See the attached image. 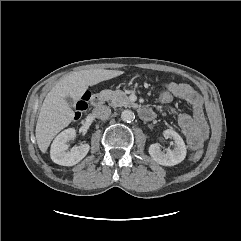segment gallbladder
I'll return each instance as SVG.
<instances>
[{
	"label": "gallbladder",
	"instance_id": "gallbladder-1",
	"mask_svg": "<svg viewBox=\"0 0 241 241\" xmlns=\"http://www.w3.org/2000/svg\"><path fill=\"white\" fill-rule=\"evenodd\" d=\"M65 99H66L67 104H68L71 108H74V107H75V103H76L75 99H73V98L70 97V96H67Z\"/></svg>",
	"mask_w": 241,
	"mask_h": 241
}]
</instances>
